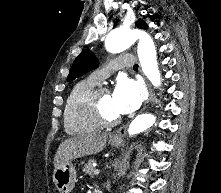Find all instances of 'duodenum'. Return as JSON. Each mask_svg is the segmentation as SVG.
Here are the masks:
<instances>
[{
    "instance_id": "410a0bca",
    "label": "duodenum",
    "mask_w": 221,
    "mask_h": 193,
    "mask_svg": "<svg viewBox=\"0 0 221 193\" xmlns=\"http://www.w3.org/2000/svg\"><path fill=\"white\" fill-rule=\"evenodd\" d=\"M93 193H103L101 190H95Z\"/></svg>"
}]
</instances>
